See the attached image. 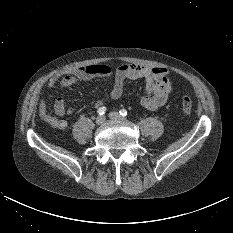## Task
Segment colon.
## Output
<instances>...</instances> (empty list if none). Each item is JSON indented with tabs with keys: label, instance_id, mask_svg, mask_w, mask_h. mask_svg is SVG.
<instances>
[{
	"label": "colon",
	"instance_id": "colon-1",
	"mask_svg": "<svg viewBox=\"0 0 233 233\" xmlns=\"http://www.w3.org/2000/svg\"><path fill=\"white\" fill-rule=\"evenodd\" d=\"M181 106L185 114L190 115L192 113L193 105L189 97L183 96L181 98Z\"/></svg>",
	"mask_w": 233,
	"mask_h": 233
}]
</instances>
